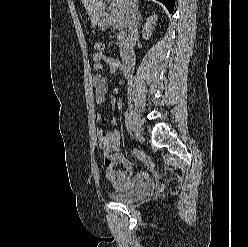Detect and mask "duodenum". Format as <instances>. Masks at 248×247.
Wrapping results in <instances>:
<instances>
[{
    "mask_svg": "<svg viewBox=\"0 0 248 247\" xmlns=\"http://www.w3.org/2000/svg\"><path fill=\"white\" fill-rule=\"evenodd\" d=\"M103 21L110 24L111 23L110 16L107 14H104L103 15ZM135 62H136V53L133 50H128L125 53V57H124V60L122 62L123 71L125 73H129L133 69Z\"/></svg>",
    "mask_w": 248,
    "mask_h": 247,
    "instance_id": "410a0bca",
    "label": "duodenum"
}]
</instances>
